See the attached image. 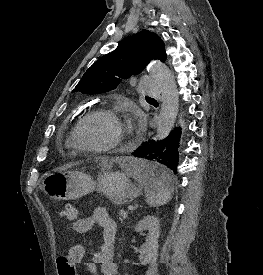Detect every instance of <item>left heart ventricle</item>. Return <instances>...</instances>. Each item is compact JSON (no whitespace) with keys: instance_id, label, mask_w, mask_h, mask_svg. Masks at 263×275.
I'll return each instance as SVG.
<instances>
[{"instance_id":"1","label":"left heart ventricle","mask_w":263,"mask_h":275,"mask_svg":"<svg viewBox=\"0 0 263 275\" xmlns=\"http://www.w3.org/2000/svg\"><path fill=\"white\" fill-rule=\"evenodd\" d=\"M119 135L117 125L106 116H95L79 130V140L85 146L102 147L113 143Z\"/></svg>"}]
</instances>
